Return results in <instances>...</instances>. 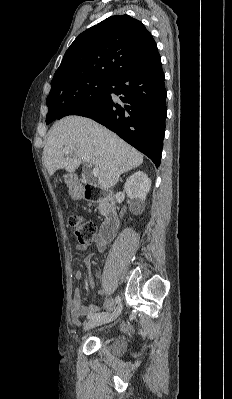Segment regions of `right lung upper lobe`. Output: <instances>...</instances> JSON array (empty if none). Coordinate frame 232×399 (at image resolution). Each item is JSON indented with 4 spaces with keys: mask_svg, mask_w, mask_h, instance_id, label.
Instances as JSON below:
<instances>
[{
    "mask_svg": "<svg viewBox=\"0 0 232 399\" xmlns=\"http://www.w3.org/2000/svg\"><path fill=\"white\" fill-rule=\"evenodd\" d=\"M157 51L151 33L137 19L115 15L84 31L66 51L49 95L83 82L110 79Z\"/></svg>",
    "mask_w": 232,
    "mask_h": 399,
    "instance_id": "1",
    "label": "right lung upper lobe"
}]
</instances>
